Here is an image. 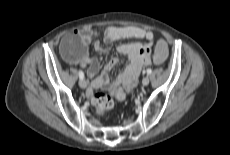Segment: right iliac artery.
I'll return each instance as SVG.
<instances>
[{
  "label": "right iliac artery",
  "mask_w": 230,
  "mask_h": 155,
  "mask_svg": "<svg viewBox=\"0 0 230 155\" xmlns=\"http://www.w3.org/2000/svg\"><path fill=\"white\" fill-rule=\"evenodd\" d=\"M79 77L80 79H84V73L81 70L79 71Z\"/></svg>",
  "instance_id": "82829eb1"
}]
</instances>
